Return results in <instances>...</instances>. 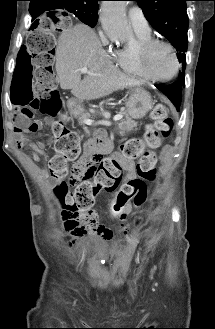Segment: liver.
<instances>
[{
    "label": "liver",
    "instance_id": "obj_1",
    "mask_svg": "<svg viewBox=\"0 0 215 329\" xmlns=\"http://www.w3.org/2000/svg\"><path fill=\"white\" fill-rule=\"evenodd\" d=\"M56 72L62 89H71L79 100H94L112 92L142 85L119 71L105 56L95 32L84 24L64 30L56 47ZM88 74L81 80L80 69Z\"/></svg>",
    "mask_w": 215,
    "mask_h": 329
}]
</instances>
